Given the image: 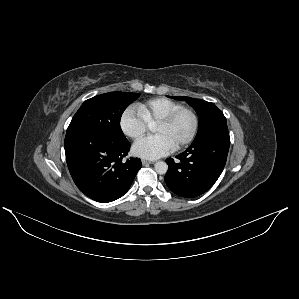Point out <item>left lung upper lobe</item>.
I'll list each match as a JSON object with an SVG mask.
<instances>
[{"label":"left lung upper lobe","instance_id":"left-lung-upper-lobe-1","mask_svg":"<svg viewBox=\"0 0 299 299\" xmlns=\"http://www.w3.org/2000/svg\"><path fill=\"white\" fill-rule=\"evenodd\" d=\"M169 97L177 100H185L197 112L199 117V129L193 142H196L213 132L228 130L224 114L214 103L184 96Z\"/></svg>","mask_w":299,"mask_h":299}]
</instances>
